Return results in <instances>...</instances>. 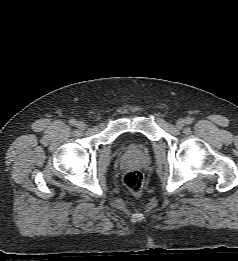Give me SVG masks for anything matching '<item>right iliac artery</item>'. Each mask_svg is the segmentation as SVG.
I'll use <instances>...</instances> for the list:
<instances>
[{
    "mask_svg": "<svg viewBox=\"0 0 238 261\" xmlns=\"http://www.w3.org/2000/svg\"><path fill=\"white\" fill-rule=\"evenodd\" d=\"M69 123H70V125H72V126L77 125V121H76L75 119H71V120L69 121Z\"/></svg>",
    "mask_w": 238,
    "mask_h": 261,
    "instance_id": "1",
    "label": "right iliac artery"
}]
</instances>
